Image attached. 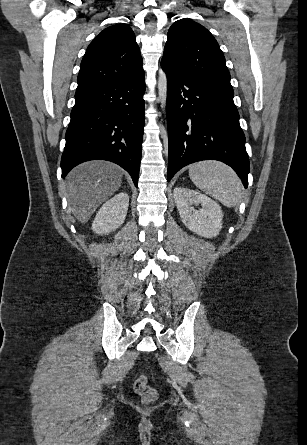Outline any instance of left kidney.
<instances>
[{
    "instance_id": "obj_1",
    "label": "left kidney",
    "mask_w": 307,
    "mask_h": 445,
    "mask_svg": "<svg viewBox=\"0 0 307 445\" xmlns=\"http://www.w3.org/2000/svg\"><path fill=\"white\" fill-rule=\"evenodd\" d=\"M173 196L181 216L182 223L195 235L212 239L217 237L222 229L223 212L221 206L201 192L176 186ZM192 204H201L196 210Z\"/></svg>"
}]
</instances>
